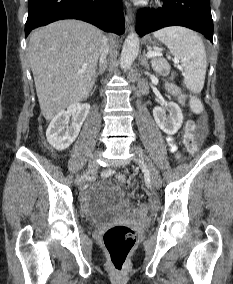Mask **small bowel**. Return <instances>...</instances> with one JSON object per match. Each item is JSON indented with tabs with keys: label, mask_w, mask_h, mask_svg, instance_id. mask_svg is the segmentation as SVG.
Segmentation results:
<instances>
[{
	"label": "small bowel",
	"mask_w": 233,
	"mask_h": 284,
	"mask_svg": "<svg viewBox=\"0 0 233 284\" xmlns=\"http://www.w3.org/2000/svg\"><path fill=\"white\" fill-rule=\"evenodd\" d=\"M168 89H169V91H170L171 93H173V94H175V95L178 96L179 101H180L181 103H183V102L185 101V96L182 95V94H180L179 90H178L175 86H173V85H168ZM186 124L194 125V126L197 128V124H196L195 122H193V121H188ZM198 127H199V130H198V131H199L201 134H204V133L206 132V119H205V117H202V118H201ZM167 140H168V143H169V145L171 146L172 150H176V146H175L174 143H173L172 137L168 136V137H167Z\"/></svg>",
	"instance_id": "small-bowel-1"
}]
</instances>
